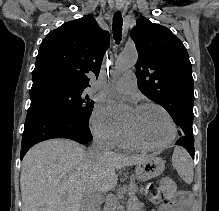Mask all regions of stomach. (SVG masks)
I'll return each mask as SVG.
<instances>
[{"instance_id":"obj_1","label":"stomach","mask_w":219,"mask_h":211,"mask_svg":"<svg viewBox=\"0 0 219 211\" xmlns=\"http://www.w3.org/2000/svg\"><path fill=\"white\" fill-rule=\"evenodd\" d=\"M165 168V161L156 156H151L148 160L137 164L135 175L141 182L147 181L162 174Z\"/></svg>"}]
</instances>
